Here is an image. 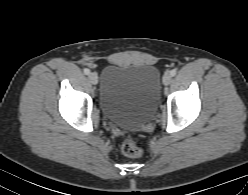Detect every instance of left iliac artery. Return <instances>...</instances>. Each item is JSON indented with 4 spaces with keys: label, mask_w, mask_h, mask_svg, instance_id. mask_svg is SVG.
Returning <instances> with one entry per match:
<instances>
[{
    "label": "left iliac artery",
    "mask_w": 248,
    "mask_h": 195,
    "mask_svg": "<svg viewBox=\"0 0 248 195\" xmlns=\"http://www.w3.org/2000/svg\"><path fill=\"white\" fill-rule=\"evenodd\" d=\"M176 73H177L176 69H173V70L170 71V75H171V76H175Z\"/></svg>",
    "instance_id": "1"
}]
</instances>
